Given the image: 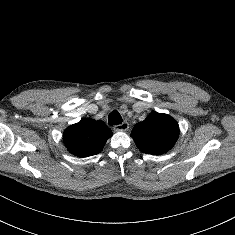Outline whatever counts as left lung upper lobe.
I'll use <instances>...</instances> for the list:
<instances>
[{
  "mask_svg": "<svg viewBox=\"0 0 235 235\" xmlns=\"http://www.w3.org/2000/svg\"><path fill=\"white\" fill-rule=\"evenodd\" d=\"M131 137L143 153L160 155L176 143L179 126L171 116L151 112L144 121L134 126Z\"/></svg>",
  "mask_w": 235,
  "mask_h": 235,
  "instance_id": "obj_1",
  "label": "left lung upper lobe"
}]
</instances>
